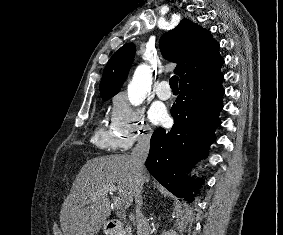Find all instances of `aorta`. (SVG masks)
Listing matches in <instances>:
<instances>
[{
  "instance_id": "obj_1",
  "label": "aorta",
  "mask_w": 283,
  "mask_h": 235,
  "mask_svg": "<svg viewBox=\"0 0 283 235\" xmlns=\"http://www.w3.org/2000/svg\"><path fill=\"white\" fill-rule=\"evenodd\" d=\"M152 72L148 65L141 64L134 72L132 81L128 85V99L132 105H140L151 89Z\"/></svg>"
}]
</instances>
